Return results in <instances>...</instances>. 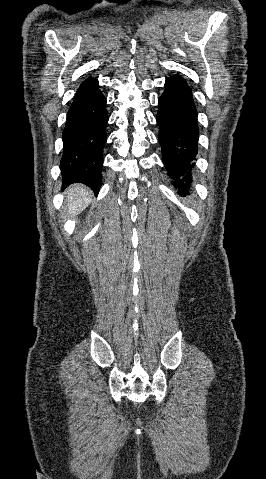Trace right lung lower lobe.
<instances>
[{
  "instance_id": "right-lung-lower-lobe-1",
  "label": "right lung lower lobe",
  "mask_w": 266,
  "mask_h": 479,
  "mask_svg": "<svg viewBox=\"0 0 266 479\" xmlns=\"http://www.w3.org/2000/svg\"><path fill=\"white\" fill-rule=\"evenodd\" d=\"M107 122L106 98L98 80L90 77L78 88L67 113L60 162L63 188L80 182L99 192Z\"/></svg>"
}]
</instances>
